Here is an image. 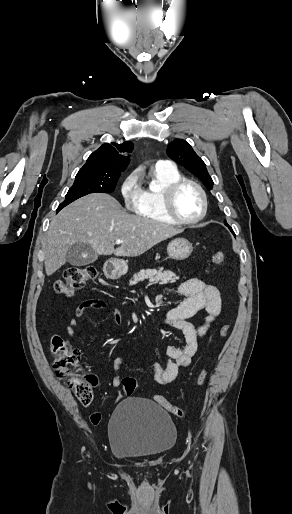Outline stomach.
I'll return each instance as SVG.
<instances>
[{"mask_svg": "<svg viewBox=\"0 0 292 514\" xmlns=\"http://www.w3.org/2000/svg\"><path fill=\"white\" fill-rule=\"evenodd\" d=\"M192 250V244L185 238H175L167 246L168 258H171V260H186ZM124 270H126V266H124L122 260H117V258L107 260L103 266V272L109 280H118L124 274Z\"/></svg>", "mask_w": 292, "mask_h": 514, "instance_id": "obj_1", "label": "stomach"}]
</instances>
